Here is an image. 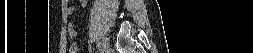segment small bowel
<instances>
[{"label": "small bowel", "instance_id": "1", "mask_svg": "<svg viewBox=\"0 0 253 53\" xmlns=\"http://www.w3.org/2000/svg\"><path fill=\"white\" fill-rule=\"evenodd\" d=\"M68 33L71 38H75L77 36V31L72 24L68 25Z\"/></svg>", "mask_w": 253, "mask_h": 53}]
</instances>
